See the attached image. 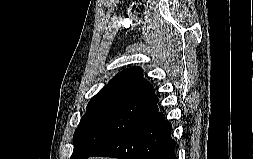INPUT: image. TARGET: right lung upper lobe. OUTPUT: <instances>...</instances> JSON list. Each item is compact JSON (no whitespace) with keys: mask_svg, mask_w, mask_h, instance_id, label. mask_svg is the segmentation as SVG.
Wrapping results in <instances>:
<instances>
[{"mask_svg":"<svg viewBox=\"0 0 253 159\" xmlns=\"http://www.w3.org/2000/svg\"><path fill=\"white\" fill-rule=\"evenodd\" d=\"M142 72L139 67L120 72L93 98L126 97L157 104L152 85L142 77Z\"/></svg>","mask_w":253,"mask_h":159,"instance_id":"1","label":"right lung upper lobe"}]
</instances>
